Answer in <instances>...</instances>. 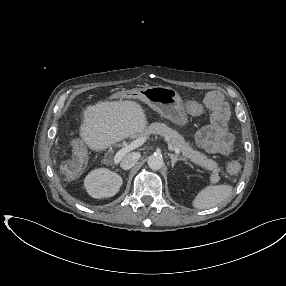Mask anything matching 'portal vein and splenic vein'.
<instances>
[{
  "instance_id": "1",
  "label": "portal vein and splenic vein",
  "mask_w": 286,
  "mask_h": 286,
  "mask_svg": "<svg viewBox=\"0 0 286 286\" xmlns=\"http://www.w3.org/2000/svg\"><path fill=\"white\" fill-rule=\"evenodd\" d=\"M146 140H147V137L146 136H142V137H139L138 139H136L135 141L131 142L130 144L125 145L114 156V163L117 164L123 158V156L126 153L130 152L131 150H134V149L140 147L141 145H143L146 142ZM169 149L170 150H174V152L176 154H180V150L178 148H173L171 145H169Z\"/></svg>"
}]
</instances>
